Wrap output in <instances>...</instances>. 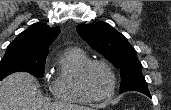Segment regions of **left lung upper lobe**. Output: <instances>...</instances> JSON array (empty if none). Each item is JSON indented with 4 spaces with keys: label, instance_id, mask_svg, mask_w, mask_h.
<instances>
[{
    "label": "left lung upper lobe",
    "instance_id": "left-lung-upper-lobe-1",
    "mask_svg": "<svg viewBox=\"0 0 171 110\" xmlns=\"http://www.w3.org/2000/svg\"><path fill=\"white\" fill-rule=\"evenodd\" d=\"M77 32L91 48L103 54L121 70L120 93L139 91L150 95L136 50L124 35L103 22L80 24Z\"/></svg>",
    "mask_w": 171,
    "mask_h": 110
}]
</instances>
